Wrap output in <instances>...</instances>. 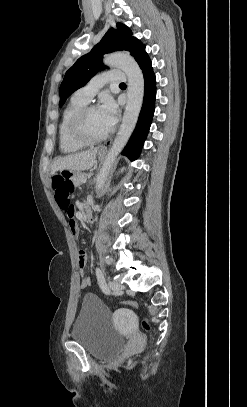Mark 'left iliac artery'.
Wrapping results in <instances>:
<instances>
[{
  "mask_svg": "<svg viewBox=\"0 0 247 407\" xmlns=\"http://www.w3.org/2000/svg\"><path fill=\"white\" fill-rule=\"evenodd\" d=\"M95 273H96V277H97V280H98V284H99L102 292L105 293V294H109L110 289L108 288V286L106 284L103 272L100 270V268L96 267Z\"/></svg>",
  "mask_w": 247,
  "mask_h": 407,
  "instance_id": "left-iliac-artery-1",
  "label": "left iliac artery"
}]
</instances>
